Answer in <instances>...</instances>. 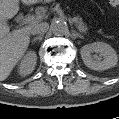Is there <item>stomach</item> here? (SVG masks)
<instances>
[{
  "mask_svg": "<svg viewBox=\"0 0 119 119\" xmlns=\"http://www.w3.org/2000/svg\"><path fill=\"white\" fill-rule=\"evenodd\" d=\"M42 1H46V2H49V1H53V0H42Z\"/></svg>",
  "mask_w": 119,
  "mask_h": 119,
  "instance_id": "obj_1",
  "label": "stomach"
}]
</instances>
